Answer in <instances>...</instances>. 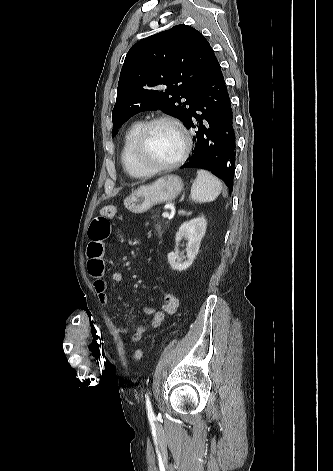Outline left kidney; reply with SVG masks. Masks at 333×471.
I'll use <instances>...</instances> for the list:
<instances>
[{
    "label": "left kidney",
    "mask_w": 333,
    "mask_h": 471,
    "mask_svg": "<svg viewBox=\"0 0 333 471\" xmlns=\"http://www.w3.org/2000/svg\"><path fill=\"white\" fill-rule=\"evenodd\" d=\"M207 227V221L204 216H199L190 220L189 222H184L175 236V242H178L181 239H187V258L185 261H182L179 258V252L177 250L168 253V262L172 269L177 271H183L189 268L196 255L198 254L200 242L205 235Z\"/></svg>",
    "instance_id": "5707ae66"
}]
</instances>
